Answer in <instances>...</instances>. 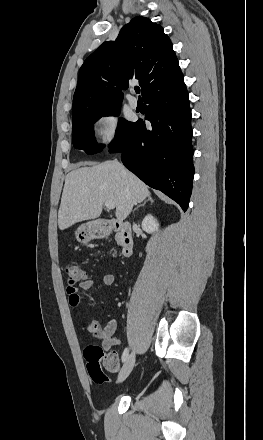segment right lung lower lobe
<instances>
[{"mask_svg": "<svg viewBox=\"0 0 263 440\" xmlns=\"http://www.w3.org/2000/svg\"><path fill=\"white\" fill-rule=\"evenodd\" d=\"M143 100L146 119L132 124L110 152H122L123 164L147 185L176 201L186 211L194 176L191 110L181 70L149 89Z\"/></svg>", "mask_w": 263, "mask_h": 440, "instance_id": "1", "label": "right lung lower lobe"}]
</instances>
